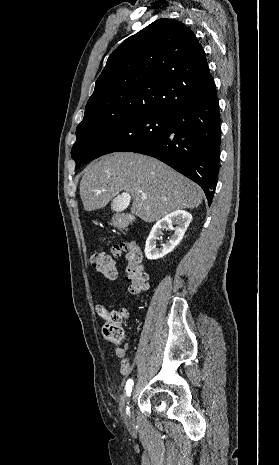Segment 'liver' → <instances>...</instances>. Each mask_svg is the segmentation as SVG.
<instances>
[{
    "label": "liver",
    "instance_id": "liver-1",
    "mask_svg": "<svg viewBox=\"0 0 279 465\" xmlns=\"http://www.w3.org/2000/svg\"><path fill=\"white\" fill-rule=\"evenodd\" d=\"M120 192L132 198V214L148 223L176 210L197 208L203 198V191L196 183L146 155L112 153L84 169L80 196L85 211L104 208L113 198L115 210V199L125 200L118 196ZM143 193L146 199L142 198Z\"/></svg>",
    "mask_w": 279,
    "mask_h": 465
}]
</instances>
